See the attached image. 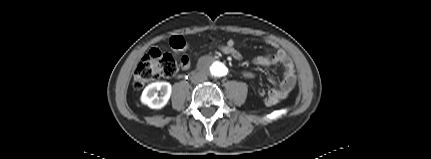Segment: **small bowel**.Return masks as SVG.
Segmentation results:
<instances>
[{
	"instance_id": "1",
	"label": "small bowel",
	"mask_w": 431,
	"mask_h": 159,
	"mask_svg": "<svg viewBox=\"0 0 431 159\" xmlns=\"http://www.w3.org/2000/svg\"><path fill=\"white\" fill-rule=\"evenodd\" d=\"M266 42L275 47L272 41L267 40ZM211 46L217 49V51L219 52H228L230 51L231 47H233L235 49V52L230 56L236 60L242 59V55L236 48L235 41L232 39L228 40L225 44H222L218 40H212ZM252 62L254 65L264 68H269L277 64L282 65L284 69L283 78L280 81L278 88L270 89L267 92L265 91V95L261 96L264 97L265 103L267 105L278 106L281 103V100L285 99L288 96V94L293 90L296 84V74L291 59L288 57L285 51H283L282 49H277L274 54L266 53L264 55L255 57ZM190 65L191 62L189 57L183 56L181 60V68L183 70H187L189 69ZM243 75L247 78H252L255 74L251 71H244ZM271 81L274 82V79L271 78Z\"/></svg>"
}]
</instances>
